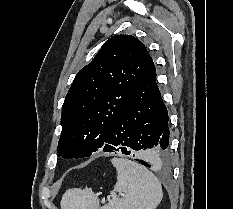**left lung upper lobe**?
Listing matches in <instances>:
<instances>
[{"label": "left lung upper lobe", "instance_id": "obj_1", "mask_svg": "<svg viewBox=\"0 0 233 209\" xmlns=\"http://www.w3.org/2000/svg\"><path fill=\"white\" fill-rule=\"evenodd\" d=\"M153 65L144 44L112 36L75 76L62 106L58 155L90 157L103 149L110 128Z\"/></svg>", "mask_w": 233, "mask_h": 209}]
</instances>
